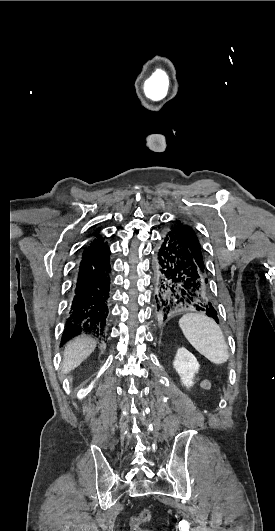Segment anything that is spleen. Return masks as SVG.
Wrapping results in <instances>:
<instances>
[{
  "mask_svg": "<svg viewBox=\"0 0 275 531\" xmlns=\"http://www.w3.org/2000/svg\"><path fill=\"white\" fill-rule=\"evenodd\" d=\"M179 327L192 347L215 365H223L229 359L224 335L214 319L200 313H186Z\"/></svg>",
  "mask_w": 275,
  "mask_h": 531,
  "instance_id": "3e777b00",
  "label": "spleen"
}]
</instances>
